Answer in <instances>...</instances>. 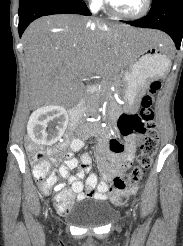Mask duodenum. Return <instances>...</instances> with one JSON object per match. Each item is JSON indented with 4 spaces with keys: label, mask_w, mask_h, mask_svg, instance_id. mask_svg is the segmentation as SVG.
I'll use <instances>...</instances> for the list:
<instances>
[{
    "label": "duodenum",
    "mask_w": 183,
    "mask_h": 246,
    "mask_svg": "<svg viewBox=\"0 0 183 246\" xmlns=\"http://www.w3.org/2000/svg\"><path fill=\"white\" fill-rule=\"evenodd\" d=\"M97 90V86L93 85L89 87V91L90 92H95ZM85 105L84 104H78L76 107L72 108L69 111V127L71 129L75 128V126L77 125L78 122V117H79V113H84L85 112Z\"/></svg>",
    "instance_id": "obj_1"
}]
</instances>
